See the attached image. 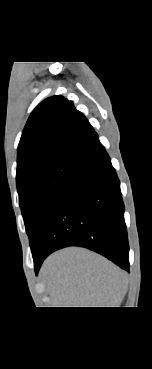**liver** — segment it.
<instances>
[{"mask_svg":"<svg viewBox=\"0 0 152 369\" xmlns=\"http://www.w3.org/2000/svg\"><path fill=\"white\" fill-rule=\"evenodd\" d=\"M41 276L55 307H119L115 305L121 304L128 287L124 271L77 247L52 254L43 264Z\"/></svg>","mask_w":152,"mask_h":369,"instance_id":"obj_1","label":"liver"}]
</instances>
